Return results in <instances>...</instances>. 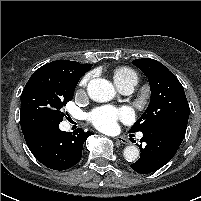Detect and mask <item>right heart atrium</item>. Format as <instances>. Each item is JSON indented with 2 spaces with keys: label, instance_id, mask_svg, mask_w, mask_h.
Wrapping results in <instances>:
<instances>
[{
  "label": "right heart atrium",
  "instance_id": "1",
  "mask_svg": "<svg viewBox=\"0 0 201 201\" xmlns=\"http://www.w3.org/2000/svg\"><path fill=\"white\" fill-rule=\"evenodd\" d=\"M90 78H91V74H87L86 76H84L83 79L81 80V86L85 87L87 83L89 82Z\"/></svg>",
  "mask_w": 201,
  "mask_h": 201
}]
</instances>
